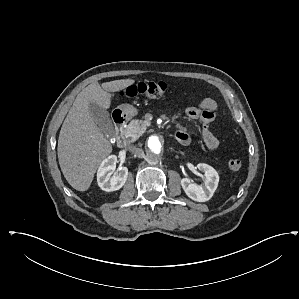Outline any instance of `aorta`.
Segmentation results:
<instances>
[{
	"instance_id": "obj_1",
	"label": "aorta",
	"mask_w": 299,
	"mask_h": 299,
	"mask_svg": "<svg viewBox=\"0 0 299 299\" xmlns=\"http://www.w3.org/2000/svg\"><path fill=\"white\" fill-rule=\"evenodd\" d=\"M146 149L152 158L160 157L165 150V144L163 138L159 135H151L147 139Z\"/></svg>"
}]
</instances>
